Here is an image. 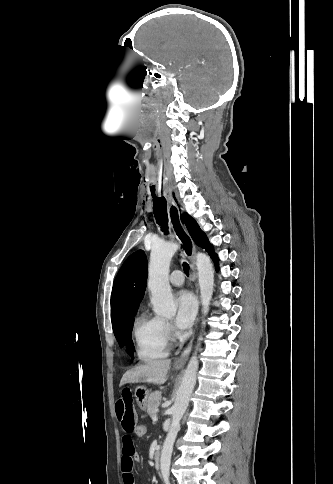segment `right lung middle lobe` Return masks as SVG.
<instances>
[{"label": "right lung middle lobe", "instance_id": "dd1d6c3e", "mask_svg": "<svg viewBox=\"0 0 333 484\" xmlns=\"http://www.w3.org/2000/svg\"><path fill=\"white\" fill-rule=\"evenodd\" d=\"M136 312L130 314L123 322L119 324L117 328H114L115 337L120 347H126L128 354L133 359L134 345L131 339V328L134 321V315Z\"/></svg>", "mask_w": 333, "mask_h": 484}]
</instances>
